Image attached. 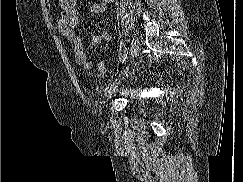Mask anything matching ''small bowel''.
<instances>
[{
    "label": "small bowel",
    "instance_id": "c3829d8e",
    "mask_svg": "<svg viewBox=\"0 0 243 182\" xmlns=\"http://www.w3.org/2000/svg\"><path fill=\"white\" fill-rule=\"evenodd\" d=\"M112 1L113 0H99L98 2L92 3L90 6V12L94 15L100 14L104 11L106 5ZM59 5L61 12L57 20L58 30L70 43L77 64L89 70L92 68L93 63L84 51L80 36H78L75 32L79 23L77 0H59ZM108 39V31L106 29H101L98 34L91 37L90 45L92 48L97 49L105 40Z\"/></svg>",
    "mask_w": 243,
    "mask_h": 182
}]
</instances>
